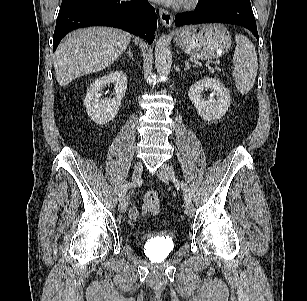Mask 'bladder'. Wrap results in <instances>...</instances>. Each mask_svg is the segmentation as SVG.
<instances>
[{
    "mask_svg": "<svg viewBox=\"0 0 307 301\" xmlns=\"http://www.w3.org/2000/svg\"><path fill=\"white\" fill-rule=\"evenodd\" d=\"M160 235L152 234L144 238V242H149L153 239L160 238ZM172 249V246L162 245L160 250L169 252Z\"/></svg>",
    "mask_w": 307,
    "mask_h": 301,
    "instance_id": "31cf9c89",
    "label": "bladder"
}]
</instances>
